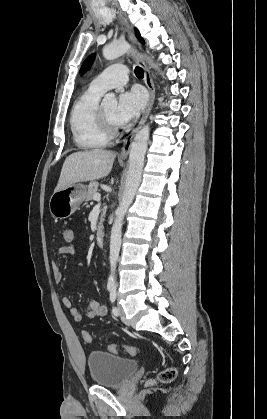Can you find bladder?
Here are the masks:
<instances>
[{
    "mask_svg": "<svg viewBox=\"0 0 267 419\" xmlns=\"http://www.w3.org/2000/svg\"><path fill=\"white\" fill-rule=\"evenodd\" d=\"M91 379L102 387H120L138 370L136 360L104 351H92L87 357Z\"/></svg>",
    "mask_w": 267,
    "mask_h": 419,
    "instance_id": "obj_1",
    "label": "bladder"
}]
</instances>
